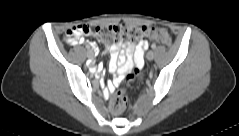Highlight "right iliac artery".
I'll return each instance as SVG.
<instances>
[{"label":"right iliac artery","instance_id":"1","mask_svg":"<svg viewBox=\"0 0 239 136\" xmlns=\"http://www.w3.org/2000/svg\"><path fill=\"white\" fill-rule=\"evenodd\" d=\"M85 50H89V46H85Z\"/></svg>","mask_w":239,"mask_h":136}]
</instances>
